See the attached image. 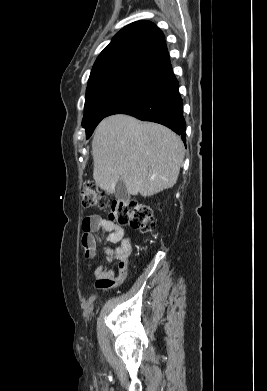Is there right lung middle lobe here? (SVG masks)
<instances>
[{
    "label": "right lung middle lobe",
    "mask_w": 267,
    "mask_h": 391,
    "mask_svg": "<svg viewBox=\"0 0 267 391\" xmlns=\"http://www.w3.org/2000/svg\"><path fill=\"white\" fill-rule=\"evenodd\" d=\"M152 76L119 72L88 81L82 126L88 139L98 123L121 101L149 81Z\"/></svg>",
    "instance_id": "dd1d6c3e"
}]
</instances>
